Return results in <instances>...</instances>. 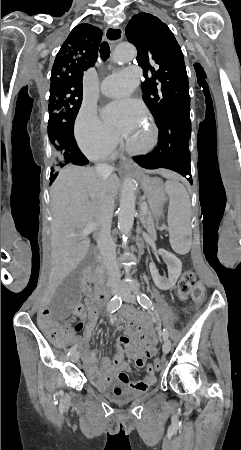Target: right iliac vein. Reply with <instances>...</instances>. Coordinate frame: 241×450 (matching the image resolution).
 <instances>
[{
    "label": "right iliac vein",
    "instance_id": "1",
    "mask_svg": "<svg viewBox=\"0 0 241 450\" xmlns=\"http://www.w3.org/2000/svg\"><path fill=\"white\" fill-rule=\"evenodd\" d=\"M114 293H117V291L115 290ZM79 357H80V352L77 351L71 356V360L73 362H77L79 360Z\"/></svg>",
    "mask_w": 241,
    "mask_h": 450
}]
</instances>
